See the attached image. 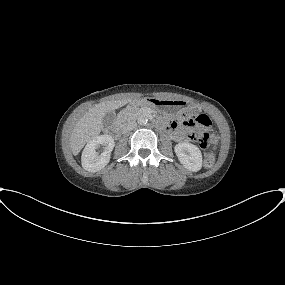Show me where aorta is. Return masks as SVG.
<instances>
[{
    "label": "aorta",
    "mask_w": 285,
    "mask_h": 285,
    "mask_svg": "<svg viewBox=\"0 0 285 285\" xmlns=\"http://www.w3.org/2000/svg\"><path fill=\"white\" fill-rule=\"evenodd\" d=\"M139 125H146L148 122V119L145 116H140L137 120Z\"/></svg>",
    "instance_id": "obj_1"
}]
</instances>
